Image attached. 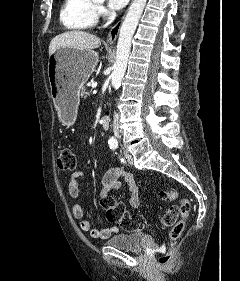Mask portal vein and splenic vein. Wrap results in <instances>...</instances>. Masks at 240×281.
<instances>
[{
  "instance_id": "18ae733b",
  "label": "portal vein and splenic vein",
  "mask_w": 240,
  "mask_h": 281,
  "mask_svg": "<svg viewBox=\"0 0 240 281\" xmlns=\"http://www.w3.org/2000/svg\"><path fill=\"white\" fill-rule=\"evenodd\" d=\"M88 85H90V84H88ZM96 86H97L96 83H93V84H92V87H93V88H96ZM94 92H96V90H94Z\"/></svg>"
}]
</instances>
